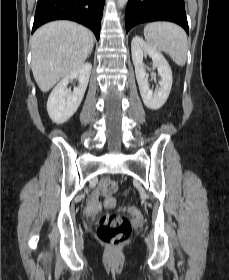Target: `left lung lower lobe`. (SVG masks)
<instances>
[{"label":"left lung lower lobe","mask_w":229,"mask_h":280,"mask_svg":"<svg viewBox=\"0 0 229 280\" xmlns=\"http://www.w3.org/2000/svg\"><path fill=\"white\" fill-rule=\"evenodd\" d=\"M171 21L189 33L184 0H129L125 13L126 32L140 23Z\"/></svg>","instance_id":"obj_1"}]
</instances>
